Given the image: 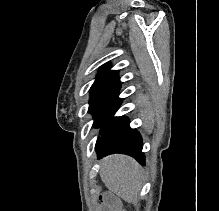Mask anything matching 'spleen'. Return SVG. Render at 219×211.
<instances>
[{
    "instance_id": "spleen-1",
    "label": "spleen",
    "mask_w": 219,
    "mask_h": 211,
    "mask_svg": "<svg viewBox=\"0 0 219 211\" xmlns=\"http://www.w3.org/2000/svg\"><path fill=\"white\" fill-rule=\"evenodd\" d=\"M100 177L110 191L123 197L128 203H138L142 169L129 155H110L100 161Z\"/></svg>"
}]
</instances>
